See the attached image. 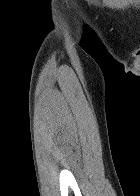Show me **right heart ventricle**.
Segmentation results:
<instances>
[{
	"instance_id": "obj_1",
	"label": "right heart ventricle",
	"mask_w": 140,
	"mask_h": 196,
	"mask_svg": "<svg viewBox=\"0 0 140 196\" xmlns=\"http://www.w3.org/2000/svg\"><path fill=\"white\" fill-rule=\"evenodd\" d=\"M96 192H109V191H96Z\"/></svg>"
}]
</instances>
